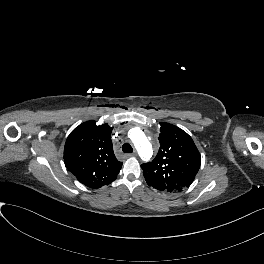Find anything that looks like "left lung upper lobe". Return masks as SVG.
<instances>
[{"mask_svg": "<svg viewBox=\"0 0 264 264\" xmlns=\"http://www.w3.org/2000/svg\"><path fill=\"white\" fill-rule=\"evenodd\" d=\"M160 125L158 154L141 168L149 186L162 192H181L194 181L201 156L185 131L165 122Z\"/></svg>", "mask_w": 264, "mask_h": 264, "instance_id": "1", "label": "left lung upper lobe"}]
</instances>
